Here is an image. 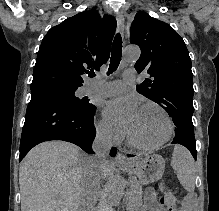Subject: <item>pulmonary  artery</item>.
Here are the masks:
<instances>
[{"instance_id": "e3ab8cb5", "label": "pulmonary artery", "mask_w": 219, "mask_h": 211, "mask_svg": "<svg viewBox=\"0 0 219 211\" xmlns=\"http://www.w3.org/2000/svg\"><path fill=\"white\" fill-rule=\"evenodd\" d=\"M136 69H125L122 79L102 82L98 78H94L84 87L81 92L82 95H101L112 96L123 92L128 85H131L135 80Z\"/></svg>"}]
</instances>
